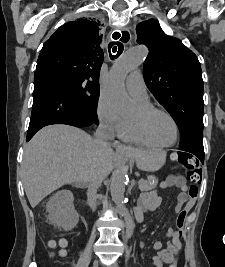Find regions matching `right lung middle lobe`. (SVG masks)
<instances>
[{
    "instance_id": "1",
    "label": "right lung middle lobe",
    "mask_w": 225,
    "mask_h": 267,
    "mask_svg": "<svg viewBox=\"0 0 225 267\" xmlns=\"http://www.w3.org/2000/svg\"><path fill=\"white\" fill-rule=\"evenodd\" d=\"M62 81L73 93L80 105L87 111L90 117L97 123V101L99 97V85L79 76L63 73L53 74Z\"/></svg>"
}]
</instances>
